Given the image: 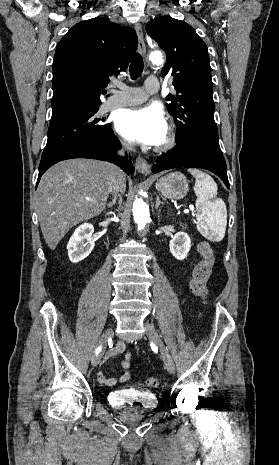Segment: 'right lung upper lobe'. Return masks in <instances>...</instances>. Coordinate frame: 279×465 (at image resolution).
<instances>
[{
    "label": "right lung upper lobe",
    "instance_id": "1",
    "mask_svg": "<svg viewBox=\"0 0 279 465\" xmlns=\"http://www.w3.org/2000/svg\"><path fill=\"white\" fill-rule=\"evenodd\" d=\"M137 43L134 29L106 18L74 25L55 51L51 125L99 108L101 90L127 68Z\"/></svg>",
    "mask_w": 279,
    "mask_h": 465
}]
</instances>
